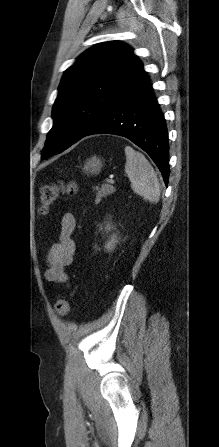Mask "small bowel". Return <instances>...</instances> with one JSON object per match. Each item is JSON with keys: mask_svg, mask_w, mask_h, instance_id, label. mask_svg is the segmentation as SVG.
<instances>
[{"mask_svg": "<svg viewBox=\"0 0 219 447\" xmlns=\"http://www.w3.org/2000/svg\"><path fill=\"white\" fill-rule=\"evenodd\" d=\"M76 227V220L72 213H65L60 220L59 240L53 244L47 254L48 268L45 277L48 281L68 283L66 269L73 262L75 241L72 233Z\"/></svg>", "mask_w": 219, "mask_h": 447, "instance_id": "c3829d8e", "label": "small bowel"}]
</instances>
